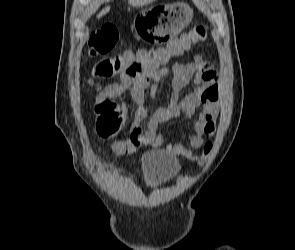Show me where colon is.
I'll return each instance as SVG.
<instances>
[{
  "instance_id": "colon-1",
  "label": "colon",
  "mask_w": 295,
  "mask_h": 250,
  "mask_svg": "<svg viewBox=\"0 0 295 250\" xmlns=\"http://www.w3.org/2000/svg\"><path fill=\"white\" fill-rule=\"evenodd\" d=\"M209 32L207 25L194 26L189 32L183 33L170 41L168 48L174 51L185 52L192 45L204 41ZM118 41V32L113 25H104L94 31L88 41V55L90 57L103 55L112 50ZM124 66L121 56L105 57L100 59L92 68V74L98 78H109L118 74ZM96 131L102 137H112L117 134L125 122V110L117 103L107 99L95 106ZM212 143L208 142L203 147L202 161L211 150Z\"/></svg>"
}]
</instances>
